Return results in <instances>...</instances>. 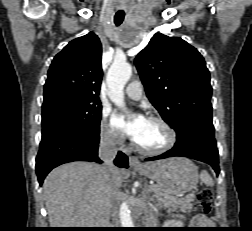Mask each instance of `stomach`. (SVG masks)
<instances>
[{"label": "stomach", "instance_id": "0dacf381", "mask_svg": "<svg viewBox=\"0 0 252 231\" xmlns=\"http://www.w3.org/2000/svg\"><path fill=\"white\" fill-rule=\"evenodd\" d=\"M139 174L156 181L162 194L181 195L193 190L198 183L196 166L187 158L175 157L146 163L136 168Z\"/></svg>", "mask_w": 252, "mask_h": 231}]
</instances>
